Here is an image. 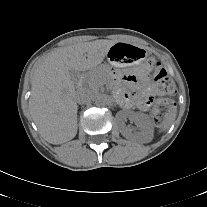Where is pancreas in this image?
I'll return each mask as SVG.
<instances>
[{"mask_svg":"<svg viewBox=\"0 0 207 207\" xmlns=\"http://www.w3.org/2000/svg\"><path fill=\"white\" fill-rule=\"evenodd\" d=\"M108 81V75L105 67H98L90 75L88 85L92 90H97L98 87Z\"/></svg>","mask_w":207,"mask_h":207,"instance_id":"pancreas-1","label":"pancreas"}]
</instances>
